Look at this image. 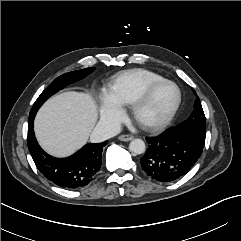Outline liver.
I'll return each mask as SVG.
<instances>
[{"label": "liver", "mask_w": 241, "mask_h": 241, "mask_svg": "<svg viewBox=\"0 0 241 241\" xmlns=\"http://www.w3.org/2000/svg\"><path fill=\"white\" fill-rule=\"evenodd\" d=\"M97 117V106L88 93L64 92L40 108L34 130L45 151L65 157L86 144Z\"/></svg>", "instance_id": "6515ba94"}]
</instances>
